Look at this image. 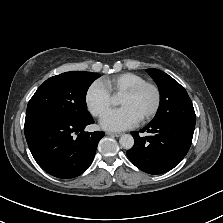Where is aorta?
<instances>
[{
	"label": "aorta",
	"instance_id": "762f6f07",
	"mask_svg": "<svg viewBox=\"0 0 223 223\" xmlns=\"http://www.w3.org/2000/svg\"><path fill=\"white\" fill-rule=\"evenodd\" d=\"M120 145L125 149H130L134 144V139L130 134H123L119 138Z\"/></svg>",
	"mask_w": 223,
	"mask_h": 223
}]
</instances>
